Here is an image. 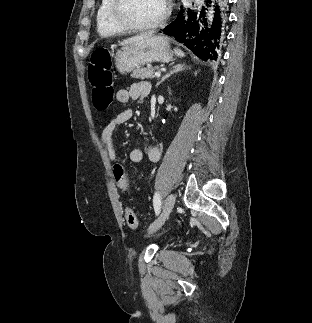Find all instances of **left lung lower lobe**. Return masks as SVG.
I'll list each match as a JSON object with an SVG mask.
<instances>
[{
	"label": "left lung lower lobe",
	"instance_id": "0a47b994",
	"mask_svg": "<svg viewBox=\"0 0 312 323\" xmlns=\"http://www.w3.org/2000/svg\"><path fill=\"white\" fill-rule=\"evenodd\" d=\"M226 8L224 0H206V7L196 12L183 8L162 32L186 45L199 58L216 60L226 32Z\"/></svg>",
	"mask_w": 312,
	"mask_h": 323
}]
</instances>
